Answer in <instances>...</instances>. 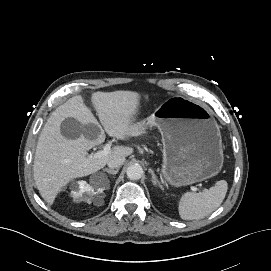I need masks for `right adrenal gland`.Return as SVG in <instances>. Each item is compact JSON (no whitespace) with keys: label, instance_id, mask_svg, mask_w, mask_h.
I'll return each mask as SVG.
<instances>
[{"label":"right adrenal gland","instance_id":"obj_1","mask_svg":"<svg viewBox=\"0 0 271 271\" xmlns=\"http://www.w3.org/2000/svg\"><path fill=\"white\" fill-rule=\"evenodd\" d=\"M103 171H106V172L109 173V174L115 175V174L118 173L119 169L111 170V169L105 168V169H103Z\"/></svg>","mask_w":271,"mask_h":271}]
</instances>
